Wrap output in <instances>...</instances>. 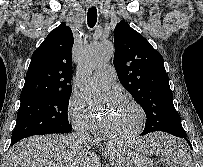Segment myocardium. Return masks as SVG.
Listing matches in <instances>:
<instances>
[{"label": "myocardium", "instance_id": "1", "mask_svg": "<svg viewBox=\"0 0 203 167\" xmlns=\"http://www.w3.org/2000/svg\"><path fill=\"white\" fill-rule=\"evenodd\" d=\"M122 100L129 106L131 107L138 115V123L136 128L130 132L127 135L119 136L111 133L103 124L102 120H100V127L103 132V134L110 140L116 141V142H128L133 139H135L144 129L145 126V121H146V116L145 112L142 109L140 105H138L136 102L133 100L129 99L126 96L120 95Z\"/></svg>", "mask_w": 203, "mask_h": 167}]
</instances>
